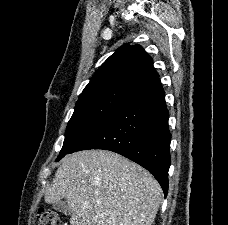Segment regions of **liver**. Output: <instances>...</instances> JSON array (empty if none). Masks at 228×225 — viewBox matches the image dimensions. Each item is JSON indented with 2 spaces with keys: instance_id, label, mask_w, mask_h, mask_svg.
Segmentation results:
<instances>
[{
  "instance_id": "obj_1",
  "label": "liver",
  "mask_w": 228,
  "mask_h": 225,
  "mask_svg": "<svg viewBox=\"0 0 228 225\" xmlns=\"http://www.w3.org/2000/svg\"><path fill=\"white\" fill-rule=\"evenodd\" d=\"M66 199L70 225H152L163 199L154 177L112 151L66 155L45 191L48 205Z\"/></svg>"
}]
</instances>
